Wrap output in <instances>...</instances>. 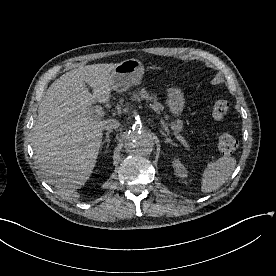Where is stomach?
I'll use <instances>...</instances> for the list:
<instances>
[{
  "mask_svg": "<svg viewBox=\"0 0 276 276\" xmlns=\"http://www.w3.org/2000/svg\"><path fill=\"white\" fill-rule=\"evenodd\" d=\"M144 65L137 59H127L119 63L112 72V90L124 92L133 85L141 84L144 76ZM167 106L174 116L181 115L185 99L180 88L167 89Z\"/></svg>",
  "mask_w": 276,
  "mask_h": 276,
  "instance_id": "1",
  "label": "stomach"
}]
</instances>
